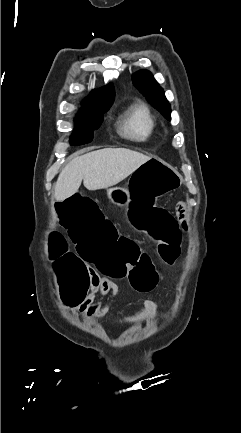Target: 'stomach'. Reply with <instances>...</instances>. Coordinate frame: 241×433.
<instances>
[{
  "mask_svg": "<svg viewBox=\"0 0 241 433\" xmlns=\"http://www.w3.org/2000/svg\"><path fill=\"white\" fill-rule=\"evenodd\" d=\"M128 187H113L107 190V196L111 203L119 207H127L132 201Z\"/></svg>",
  "mask_w": 241,
  "mask_h": 433,
  "instance_id": "1",
  "label": "stomach"
}]
</instances>
